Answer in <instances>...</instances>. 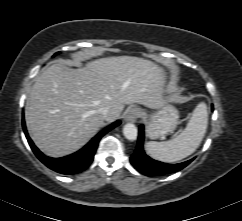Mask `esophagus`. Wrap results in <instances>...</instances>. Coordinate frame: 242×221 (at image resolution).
<instances>
[{"label":"esophagus","instance_id":"obj_1","mask_svg":"<svg viewBox=\"0 0 242 221\" xmlns=\"http://www.w3.org/2000/svg\"><path fill=\"white\" fill-rule=\"evenodd\" d=\"M141 109L138 107H131L124 113V120L134 122L141 115Z\"/></svg>","mask_w":242,"mask_h":221}]
</instances>
